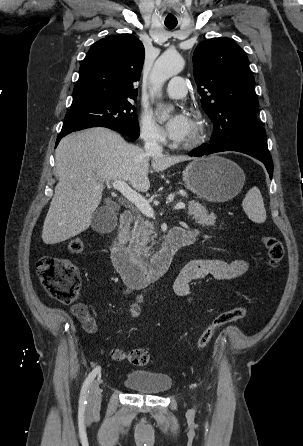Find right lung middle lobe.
I'll return each mask as SVG.
<instances>
[{"label": "right lung middle lobe", "instance_id": "right-lung-middle-lobe-1", "mask_svg": "<svg viewBox=\"0 0 303 446\" xmlns=\"http://www.w3.org/2000/svg\"><path fill=\"white\" fill-rule=\"evenodd\" d=\"M89 124H102L130 138L139 137V124L130 100H118L70 108L66 113L60 133L72 131Z\"/></svg>", "mask_w": 303, "mask_h": 446}]
</instances>
